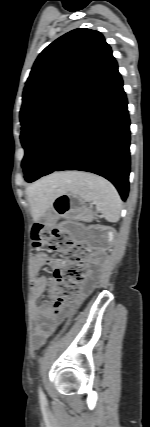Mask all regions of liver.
Listing matches in <instances>:
<instances>
[{
    "label": "liver",
    "instance_id": "obj_1",
    "mask_svg": "<svg viewBox=\"0 0 150 427\" xmlns=\"http://www.w3.org/2000/svg\"><path fill=\"white\" fill-rule=\"evenodd\" d=\"M72 176L73 173H54L27 187L26 193L31 204L34 220L40 218V216L51 206V203L58 192L68 190L69 179Z\"/></svg>",
    "mask_w": 150,
    "mask_h": 427
}]
</instances>
